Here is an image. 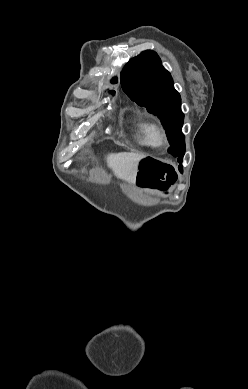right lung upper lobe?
Instances as JSON below:
<instances>
[{
  "instance_id": "cb5924a9",
  "label": "right lung upper lobe",
  "mask_w": 248,
  "mask_h": 389,
  "mask_svg": "<svg viewBox=\"0 0 248 389\" xmlns=\"http://www.w3.org/2000/svg\"><path fill=\"white\" fill-rule=\"evenodd\" d=\"M116 81H117V80H116V79H114V80H113V83H115ZM112 92L114 93V91H112Z\"/></svg>"
}]
</instances>
